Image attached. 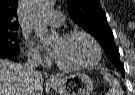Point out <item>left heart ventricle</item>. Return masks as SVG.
Instances as JSON below:
<instances>
[{
    "label": "left heart ventricle",
    "instance_id": "1",
    "mask_svg": "<svg viewBox=\"0 0 135 95\" xmlns=\"http://www.w3.org/2000/svg\"><path fill=\"white\" fill-rule=\"evenodd\" d=\"M49 29H56L48 26ZM60 43V53L57 60L67 65H79L90 62L95 57L92 43L84 36L77 35L69 38H56Z\"/></svg>",
    "mask_w": 135,
    "mask_h": 95
}]
</instances>
